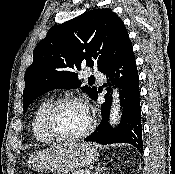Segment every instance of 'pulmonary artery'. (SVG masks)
<instances>
[{
    "mask_svg": "<svg viewBox=\"0 0 175 174\" xmlns=\"http://www.w3.org/2000/svg\"><path fill=\"white\" fill-rule=\"evenodd\" d=\"M93 75H95L96 77H99V78H103V74L101 72H99L98 70L94 69L92 71Z\"/></svg>",
    "mask_w": 175,
    "mask_h": 174,
    "instance_id": "1",
    "label": "pulmonary artery"
}]
</instances>
